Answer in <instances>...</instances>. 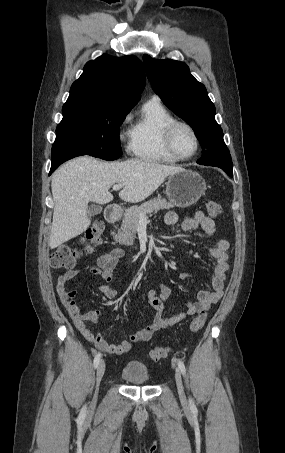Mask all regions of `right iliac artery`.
Masks as SVG:
<instances>
[{"instance_id":"obj_1","label":"right iliac artery","mask_w":285,"mask_h":453,"mask_svg":"<svg viewBox=\"0 0 285 453\" xmlns=\"http://www.w3.org/2000/svg\"><path fill=\"white\" fill-rule=\"evenodd\" d=\"M100 359H101V353H98L94 358V367L95 368H97V366L99 365ZM83 411H85V408L83 409Z\"/></svg>"}]
</instances>
